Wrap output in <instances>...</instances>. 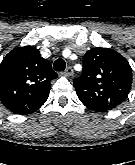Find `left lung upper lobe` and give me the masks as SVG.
I'll return each instance as SVG.
<instances>
[{
  "label": "left lung upper lobe",
  "instance_id": "5c2ea615",
  "mask_svg": "<svg viewBox=\"0 0 135 165\" xmlns=\"http://www.w3.org/2000/svg\"><path fill=\"white\" fill-rule=\"evenodd\" d=\"M132 70L128 61L109 48H93L83 58V72L74 86L79 100L88 108L107 111L129 94Z\"/></svg>",
  "mask_w": 135,
  "mask_h": 165
}]
</instances>
